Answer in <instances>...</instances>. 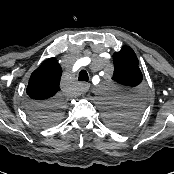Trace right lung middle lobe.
Masks as SVG:
<instances>
[{"label":"right lung middle lobe","mask_w":174,"mask_h":174,"mask_svg":"<svg viewBox=\"0 0 174 174\" xmlns=\"http://www.w3.org/2000/svg\"><path fill=\"white\" fill-rule=\"evenodd\" d=\"M64 102L56 98L45 103H33L28 107V113L35 124L39 126H51L59 122L63 117Z\"/></svg>","instance_id":"1"}]
</instances>
